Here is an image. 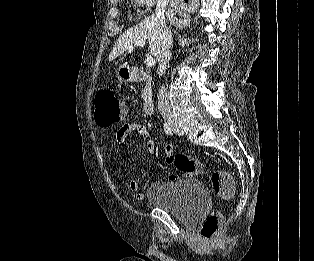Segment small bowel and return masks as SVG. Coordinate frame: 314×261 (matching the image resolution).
<instances>
[{"mask_svg":"<svg viewBox=\"0 0 314 261\" xmlns=\"http://www.w3.org/2000/svg\"><path fill=\"white\" fill-rule=\"evenodd\" d=\"M133 135H139L144 139L145 149H146L147 153L152 154L154 152L155 143H154L153 139L151 138L150 132L148 131V129L144 125H142L140 123L127 122V123L123 124L118 129L116 136H117L118 140L124 142L125 140H127L129 137H131ZM172 154H173L172 146L167 145L166 149H165L166 157L168 155H172ZM139 187H140L139 180H137V179L130 180L129 188H130V190L137 192L136 193V199L137 200H141L143 198V194L141 192H138Z\"/></svg>","mask_w":314,"mask_h":261,"instance_id":"obj_1","label":"small bowel"}]
</instances>
